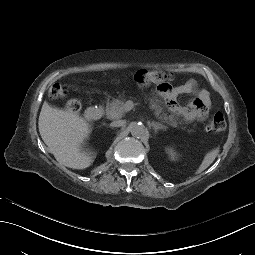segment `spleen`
I'll return each instance as SVG.
<instances>
[{"mask_svg":"<svg viewBox=\"0 0 255 255\" xmlns=\"http://www.w3.org/2000/svg\"><path fill=\"white\" fill-rule=\"evenodd\" d=\"M219 150L215 149L212 150L211 152L207 153L206 156L204 157V160L202 164L200 165L199 169L197 170V174L201 173L204 171L207 167L212 164V162L215 160L216 156L218 155Z\"/></svg>","mask_w":255,"mask_h":255,"instance_id":"obj_1","label":"spleen"}]
</instances>
